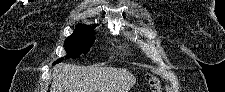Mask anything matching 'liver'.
<instances>
[{
	"instance_id": "6515ba94",
	"label": "liver",
	"mask_w": 225,
	"mask_h": 92,
	"mask_svg": "<svg viewBox=\"0 0 225 92\" xmlns=\"http://www.w3.org/2000/svg\"><path fill=\"white\" fill-rule=\"evenodd\" d=\"M135 83L126 69L61 63L54 67L50 92H129Z\"/></svg>"
}]
</instances>
